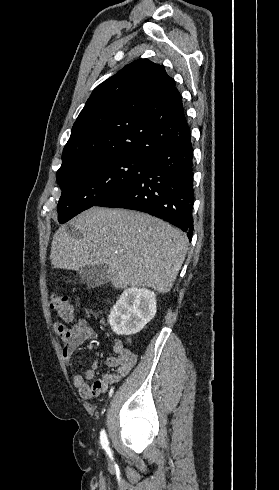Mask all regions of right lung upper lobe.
I'll use <instances>...</instances> for the list:
<instances>
[{
    "label": "right lung upper lobe",
    "mask_w": 279,
    "mask_h": 490,
    "mask_svg": "<svg viewBox=\"0 0 279 490\" xmlns=\"http://www.w3.org/2000/svg\"><path fill=\"white\" fill-rule=\"evenodd\" d=\"M190 137L175 81L164 66L139 59L93 90L72 127L57 175L99 158L150 161Z\"/></svg>",
    "instance_id": "1"
}]
</instances>
